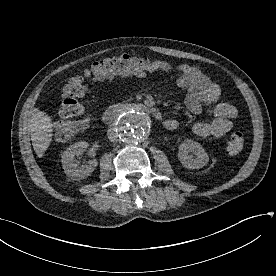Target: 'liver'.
Wrapping results in <instances>:
<instances>
[{"mask_svg":"<svg viewBox=\"0 0 276 276\" xmlns=\"http://www.w3.org/2000/svg\"><path fill=\"white\" fill-rule=\"evenodd\" d=\"M29 130L35 153L41 158L52 141L53 124L51 117L37 108L33 109L29 119Z\"/></svg>","mask_w":276,"mask_h":276,"instance_id":"liver-1","label":"liver"}]
</instances>
